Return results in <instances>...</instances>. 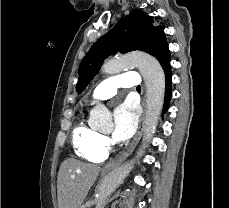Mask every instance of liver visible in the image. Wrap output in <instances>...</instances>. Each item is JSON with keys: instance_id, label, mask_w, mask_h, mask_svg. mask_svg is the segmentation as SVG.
Here are the masks:
<instances>
[{"instance_id": "obj_1", "label": "liver", "mask_w": 229, "mask_h": 208, "mask_svg": "<svg viewBox=\"0 0 229 208\" xmlns=\"http://www.w3.org/2000/svg\"><path fill=\"white\" fill-rule=\"evenodd\" d=\"M100 172L104 170L94 164H83L74 158L64 160L58 172V208H80Z\"/></svg>"}]
</instances>
